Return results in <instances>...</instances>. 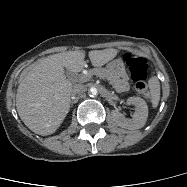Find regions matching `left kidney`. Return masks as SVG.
Returning a JSON list of instances; mask_svg holds the SVG:
<instances>
[{"mask_svg":"<svg viewBox=\"0 0 187 187\" xmlns=\"http://www.w3.org/2000/svg\"><path fill=\"white\" fill-rule=\"evenodd\" d=\"M127 103L129 105L135 106V113L133 115L132 119L125 118L120 112L117 110H114L112 112V117L115 121V123L122 127L127 129H139L142 128L148 118V106L146 102L139 97H129L127 99Z\"/></svg>","mask_w":187,"mask_h":187,"instance_id":"left-kidney-1","label":"left kidney"}]
</instances>
